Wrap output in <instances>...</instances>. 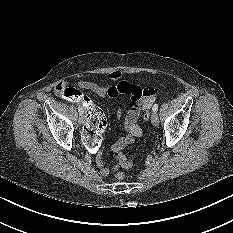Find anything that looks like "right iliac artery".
I'll use <instances>...</instances> for the list:
<instances>
[{
	"instance_id": "obj_1",
	"label": "right iliac artery",
	"mask_w": 233,
	"mask_h": 233,
	"mask_svg": "<svg viewBox=\"0 0 233 233\" xmlns=\"http://www.w3.org/2000/svg\"><path fill=\"white\" fill-rule=\"evenodd\" d=\"M78 111H79V113H80V114H83V113H84L83 108H82V107H80V106H79V108H78Z\"/></svg>"
}]
</instances>
